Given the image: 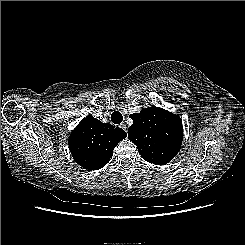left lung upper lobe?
<instances>
[{
  "label": "left lung upper lobe",
  "mask_w": 245,
  "mask_h": 245,
  "mask_svg": "<svg viewBox=\"0 0 245 245\" xmlns=\"http://www.w3.org/2000/svg\"><path fill=\"white\" fill-rule=\"evenodd\" d=\"M130 118L133 124L128 128V139L136 144L144 160L164 165L180 151L183 127L179 115L152 106Z\"/></svg>",
  "instance_id": "left-lung-upper-lobe-1"
}]
</instances>
